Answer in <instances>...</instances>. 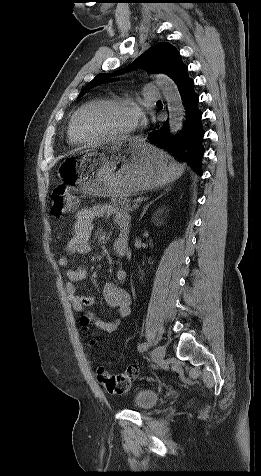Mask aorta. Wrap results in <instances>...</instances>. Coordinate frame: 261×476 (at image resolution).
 I'll use <instances>...</instances> for the list:
<instances>
[{
	"label": "aorta",
	"mask_w": 261,
	"mask_h": 476,
	"mask_svg": "<svg viewBox=\"0 0 261 476\" xmlns=\"http://www.w3.org/2000/svg\"><path fill=\"white\" fill-rule=\"evenodd\" d=\"M155 83L161 89L169 112V131L171 134H177L183 121V104L181 95L175 82L165 74H157Z\"/></svg>",
	"instance_id": "1"
}]
</instances>
